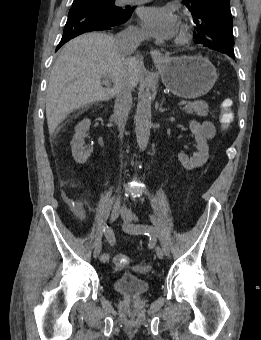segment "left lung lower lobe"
I'll return each instance as SVG.
<instances>
[{"label":"left lung lower lobe","instance_id":"0a47b994","mask_svg":"<svg viewBox=\"0 0 261 340\" xmlns=\"http://www.w3.org/2000/svg\"><path fill=\"white\" fill-rule=\"evenodd\" d=\"M195 25H196V24H195ZM220 52H221V51H220ZM221 53H225V52H221ZM225 54L229 55V56L232 57V58H235L234 53H232V52H228V53H225Z\"/></svg>","mask_w":261,"mask_h":340}]
</instances>
